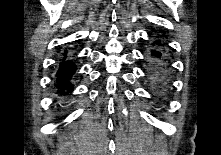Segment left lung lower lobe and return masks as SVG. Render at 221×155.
<instances>
[{
  "instance_id": "left-lung-lower-lobe-1",
  "label": "left lung lower lobe",
  "mask_w": 221,
  "mask_h": 155,
  "mask_svg": "<svg viewBox=\"0 0 221 155\" xmlns=\"http://www.w3.org/2000/svg\"><path fill=\"white\" fill-rule=\"evenodd\" d=\"M157 45H160V41L156 42ZM153 56V74L158 80L162 82L164 80V59L160 51H152Z\"/></svg>"
}]
</instances>
